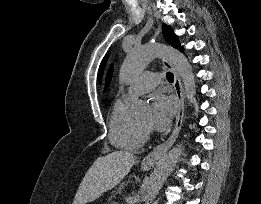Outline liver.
Segmentation results:
<instances>
[{
	"mask_svg": "<svg viewBox=\"0 0 261 204\" xmlns=\"http://www.w3.org/2000/svg\"><path fill=\"white\" fill-rule=\"evenodd\" d=\"M136 157L129 152L115 151L98 157L85 174L72 204H86L98 199L127 175Z\"/></svg>",
	"mask_w": 261,
	"mask_h": 204,
	"instance_id": "liver-1",
	"label": "liver"
}]
</instances>
